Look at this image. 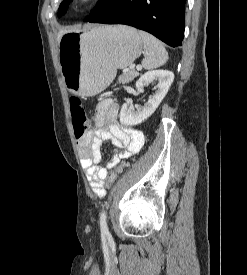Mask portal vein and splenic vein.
I'll return each mask as SVG.
<instances>
[{
    "label": "portal vein and splenic vein",
    "mask_w": 247,
    "mask_h": 275,
    "mask_svg": "<svg viewBox=\"0 0 247 275\" xmlns=\"http://www.w3.org/2000/svg\"><path fill=\"white\" fill-rule=\"evenodd\" d=\"M137 71H141L142 67L141 66H136Z\"/></svg>",
    "instance_id": "18ae733b"
}]
</instances>
